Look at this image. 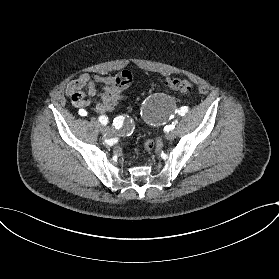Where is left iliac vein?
Instances as JSON below:
<instances>
[{
	"mask_svg": "<svg viewBox=\"0 0 279 279\" xmlns=\"http://www.w3.org/2000/svg\"><path fill=\"white\" fill-rule=\"evenodd\" d=\"M174 137H175V132H174L173 130L168 131V132L166 133V138H167V139L172 140V139H174Z\"/></svg>",
	"mask_w": 279,
	"mask_h": 279,
	"instance_id": "4c4485c4",
	"label": "left iliac vein"
}]
</instances>
